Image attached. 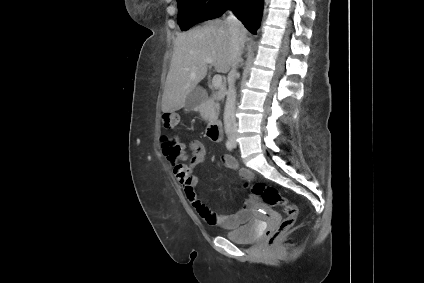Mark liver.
I'll use <instances>...</instances> for the list:
<instances>
[{
  "mask_svg": "<svg viewBox=\"0 0 424 283\" xmlns=\"http://www.w3.org/2000/svg\"><path fill=\"white\" fill-rule=\"evenodd\" d=\"M231 62V34L226 20H209L201 27L179 34L162 97V112H175L185 106L187 96L206 76L208 64L218 73H227Z\"/></svg>",
  "mask_w": 424,
  "mask_h": 283,
  "instance_id": "obj_1",
  "label": "liver"
}]
</instances>
